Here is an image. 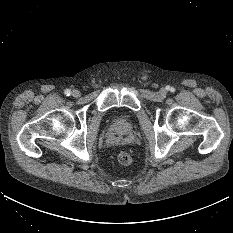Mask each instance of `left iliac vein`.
Here are the masks:
<instances>
[{
	"mask_svg": "<svg viewBox=\"0 0 233 233\" xmlns=\"http://www.w3.org/2000/svg\"><path fill=\"white\" fill-rule=\"evenodd\" d=\"M167 91L165 88H161L160 89V94L163 96V95H166Z\"/></svg>",
	"mask_w": 233,
	"mask_h": 233,
	"instance_id": "obj_1",
	"label": "left iliac vein"
}]
</instances>
